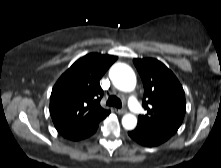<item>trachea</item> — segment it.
<instances>
[{
    "mask_svg": "<svg viewBox=\"0 0 221 168\" xmlns=\"http://www.w3.org/2000/svg\"><path fill=\"white\" fill-rule=\"evenodd\" d=\"M107 105L109 106H115L117 108H121L122 106V103H121V100L116 97V96H111L109 97V99L107 100Z\"/></svg>",
    "mask_w": 221,
    "mask_h": 168,
    "instance_id": "obj_1",
    "label": "trachea"
}]
</instances>
